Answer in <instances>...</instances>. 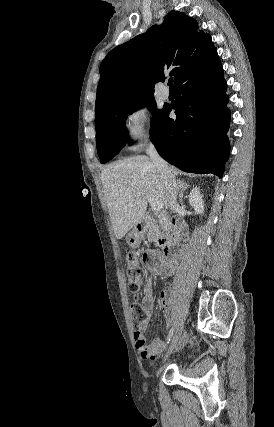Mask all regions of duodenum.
Segmentation results:
<instances>
[{
    "label": "duodenum",
    "mask_w": 274,
    "mask_h": 427,
    "mask_svg": "<svg viewBox=\"0 0 274 427\" xmlns=\"http://www.w3.org/2000/svg\"><path fill=\"white\" fill-rule=\"evenodd\" d=\"M144 222H139L136 226V231L138 234H142L144 230ZM179 230V223L177 220L173 219L169 226L168 231L165 234V236L160 240V245L162 246V253L164 258L166 259H172L173 255V246L175 244V240L177 238Z\"/></svg>",
    "instance_id": "410a0bca"
}]
</instances>
